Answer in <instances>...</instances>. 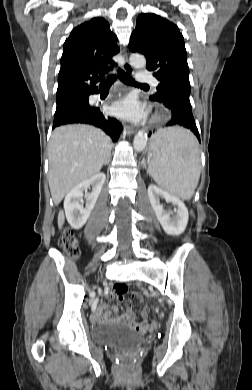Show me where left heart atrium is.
Wrapping results in <instances>:
<instances>
[{
    "mask_svg": "<svg viewBox=\"0 0 252 390\" xmlns=\"http://www.w3.org/2000/svg\"><path fill=\"white\" fill-rule=\"evenodd\" d=\"M111 111L114 115L130 121H139L145 116L143 104L134 95H127L116 101Z\"/></svg>",
    "mask_w": 252,
    "mask_h": 390,
    "instance_id": "left-heart-atrium-1",
    "label": "left heart atrium"
}]
</instances>
